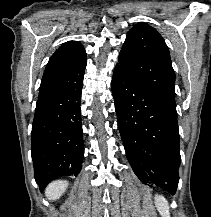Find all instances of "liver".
<instances>
[{
    "label": "liver",
    "mask_w": 211,
    "mask_h": 217,
    "mask_svg": "<svg viewBox=\"0 0 211 217\" xmlns=\"http://www.w3.org/2000/svg\"><path fill=\"white\" fill-rule=\"evenodd\" d=\"M67 186L66 181H54L46 188L45 195L51 201L57 200L64 194Z\"/></svg>",
    "instance_id": "obj_1"
}]
</instances>
